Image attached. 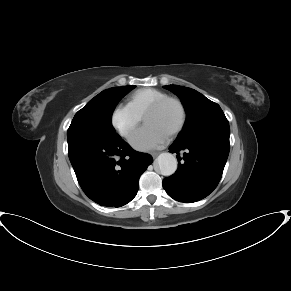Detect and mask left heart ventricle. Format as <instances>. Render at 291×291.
Listing matches in <instances>:
<instances>
[{
	"label": "left heart ventricle",
	"mask_w": 291,
	"mask_h": 291,
	"mask_svg": "<svg viewBox=\"0 0 291 291\" xmlns=\"http://www.w3.org/2000/svg\"><path fill=\"white\" fill-rule=\"evenodd\" d=\"M179 119L180 112L178 107L174 103H168L162 109L148 114L144 122L170 134L178 124Z\"/></svg>",
	"instance_id": "1"
}]
</instances>
